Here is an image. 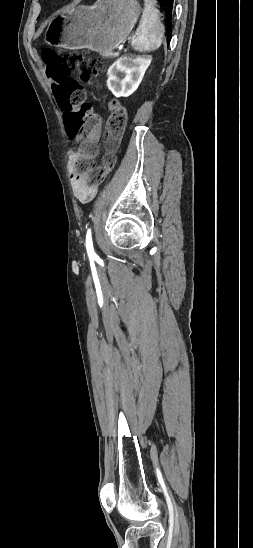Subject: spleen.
<instances>
[{"label": "spleen", "mask_w": 253, "mask_h": 548, "mask_svg": "<svg viewBox=\"0 0 253 548\" xmlns=\"http://www.w3.org/2000/svg\"><path fill=\"white\" fill-rule=\"evenodd\" d=\"M145 8L140 21V34L132 41L136 51L150 52L161 46L164 36V25L159 17L160 12L154 6V0H144Z\"/></svg>", "instance_id": "obj_1"}]
</instances>
